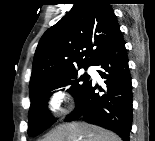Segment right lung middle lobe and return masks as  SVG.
Wrapping results in <instances>:
<instances>
[{
  "instance_id": "right-lung-middle-lobe-1",
  "label": "right lung middle lobe",
  "mask_w": 155,
  "mask_h": 141,
  "mask_svg": "<svg viewBox=\"0 0 155 141\" xmlns=\"http://www.w3.org/2000/svg\"><path fill=\"white\" fill-rule=\"evenodd\" d=\"M88 82L87 74L79 77L74 69L46 78L29 88L31 106L28 114V135L35 137L56 122L47 111V99L52 95L53 90L66 87L67 91L77 99Z\"/></svg>"
}]
</instances>
